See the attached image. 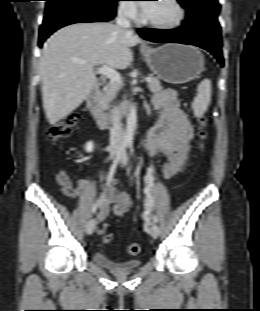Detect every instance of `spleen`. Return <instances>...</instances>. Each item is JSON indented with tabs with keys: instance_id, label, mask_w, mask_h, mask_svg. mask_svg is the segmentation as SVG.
<instances>
[{
	"instance_id": "3e777b00",
	"label": "spleen",
	"mask_w": 260,
	"mask_h": 311,
	"mask_svg": "<svg viewBox=\"0 0 260 311\" xmlns=\"http://www.w3.org/2000/svg\"><path fill=\"white\" fill-rule=\"evenodd\" d=\"M198 93L195 97L192 108L196 117H201L208 109L211 101V81L210 79H204L198 85Z\"/></svg>"
}]
</instances>
